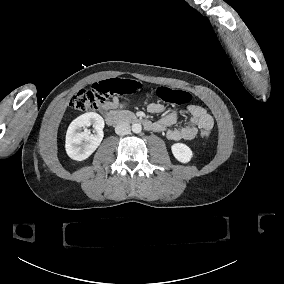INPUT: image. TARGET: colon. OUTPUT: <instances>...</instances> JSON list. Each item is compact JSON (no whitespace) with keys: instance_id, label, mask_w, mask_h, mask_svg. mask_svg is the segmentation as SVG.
Here are the masks:
<instances>
[{"instance_id":"obj_1","label":"colon","mask_w":284,"mask_h":284,"mask_svg":"<svg viewBox=\"0 0 284 284\" xmlns=\"http://www.w3.org/2000/svg\"><path fill=\"white\" fill-rule=\"evenodd\" d=\"M143 88V83L136 79L111 78L104 81L95 82L89 86L82 87L73 95L70 105L71 108L78 111H92L98 109L101 105L108 102L112 95L136 94ZM156 93L171 105H188L192 100L191 93L186 89L178 90L171 88L164 90L159 87ZM204 138L210 135L207 129L201 132Z\"/></svg>"}]
</instances>
